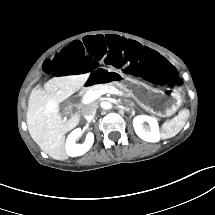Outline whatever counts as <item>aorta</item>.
<instances>
[{"mask_svg":"<svg viewBox=\"0 0 215 215\" xmlns=\"http://www.w3.org/2000/svg\"><path fill=\"white\" fill-rule=\"evenodd\" d=\"M110 105H111V104H110L109 102H102V103H101V107L104 108V109H109V108H110Z\"/></svg>","mask_w":215,"mask_h":215,"instance_id":"1","label":"aorta"}]
</instances>
